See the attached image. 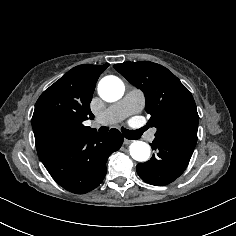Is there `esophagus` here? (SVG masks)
Instances as JSON below:
<instances>
[{
    "mask_svg": "<svg viewBox=\"0 0 236 236\" xmlns=\"http://www.w3.org/2000/svg\"><path fill=\"white\" fill-rule=\"evenodd\" d=\"M132 140L124 139V144H130Z\"/></svg>",
    "mask_w": 236,
    "mask_h": 236,
    "instance_id": "1",
    "label": "esophagus"
}]
</instances>
